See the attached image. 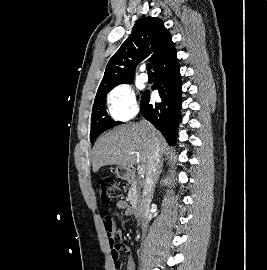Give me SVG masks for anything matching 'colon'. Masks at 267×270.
Masks as SVG:
<instances>
[{
	"mask_svg": "<svg viewBox=\"0 0 267 270\" xmlns=\"http://www.w3.org/2000/svg\"><path fill=\"white\" fill-rule=\"evenodd\" d=\"M100 199L102 203H109L118 198L121 194V189L116 181L110 176H102L97 181ZM115 269H121L120 258L115 259Z\"/></svg>",
	"mask_w": 267,
	"mask_h": 270,
	"instance_id": "colon-1",
	"label": "colon"
}]
</instances>
